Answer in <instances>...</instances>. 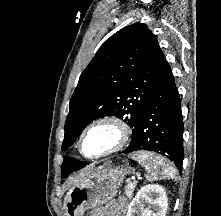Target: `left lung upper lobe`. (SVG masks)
<instances>
[{
  "label": "left lung upper lobe",
  "mask_w": 221,
  "mask_h": 216,
  "mask_svg": "<svg viewBox=\"0 0 221 216\" xmlns=\"http://www.w3.org/2000/svg\"><path fill=\"white\" fill-rule=\"evenodd\" d=\"M162 59L157 39L143 23L124 27L105 41L80 75L70 99L62 150L74 143L88 123L102 116L124 118L134 127V135ZM85 164L65 157L61 176Z\"/></svg>",
  "instance_id": "1"
}]
</instances>
